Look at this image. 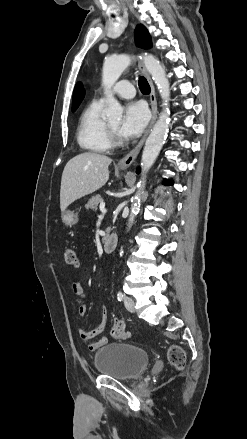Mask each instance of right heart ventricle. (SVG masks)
I'll use <instances>...</instances> for the list:
<instances>
[{"mask_svg":"<svg viewBox=\"0 0 247 439\" xmlns=\"http://www.w3.org/2000/svg\"><path fill=\"white\" fill-rule=\"evenodd\" d=\"M103 108L102 101L94 100L80 115L76 137L79 146L86 151L104 153L112 148Z\"/></svg>","mask_w":247,"mask_h":439,"instance_id":"obj_1","label":"right heart ventricle"}]
</instances>
